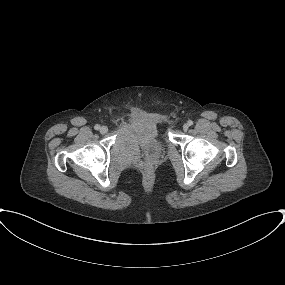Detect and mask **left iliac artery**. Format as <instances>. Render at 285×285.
Returning <instances> with one entry per match:
<instances>
[{"mask_svg":"<svg viewBox=\"0 0 285 285\" xmlns=\"http://www.w3.org/2000/svg\"><path fill=\"white\" fill-rule=\"evenodd\" d=\"M188 125H189V126H192V125H193V121H192V120H189V121H188Z\"/></svg>","mask_w":285,"mask_h":285,"instance_id":"obj_1","label":"left iliac artery"}]
</instances>
